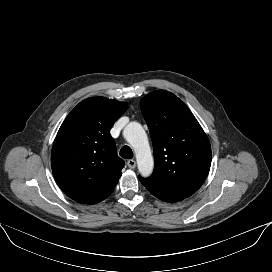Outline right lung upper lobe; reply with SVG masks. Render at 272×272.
<instances>
[{"label":"right lung upper lobe","mask_w":272,"mask_h":272,"mask_svg":"<svg viewBox=\"0 0 272 272\" xmlns=\"http://www.w3.org/2000/svg\"><path fill=\"white\" fill-rule=\"evenodd\" d=\"M126 103L104 97L80 102L66 117L52 149V172L62 191L79 203L90 204L121 176L110 129L125 112Z\"/></svg>","instance_id":"cb5924a9"}]
</instances>
